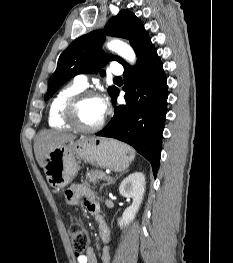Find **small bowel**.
Wrapping results in <instances>:
<instances>
[{
    "label": "small bowel",
    "instance_id": "small-bowel-1",
    "mask_svg": "<svg viewBox=\"0 0 233 263\" xmlns=\"http://www.w3.org/2000/svg\"><path fill=\"white\" fill-rule=\"evenodd\" d=\"M65 199L67 203L72 205L77 204L81 199H83L85 207L89 212L95 215L99 223V230L102 240L105 243H108L110 239L109 230L99 215V206L91 190L86 185L83 184H72L65 193ZM109 260H110V247L106 246L102 253V262L109 263ZM76 262L97 263V259L93 249L91 247L88 248L85 254L78 256L76 258Z\"/></svg>",
    "mask_w": 233,
    "mask_h": 263
}]
</instances>
